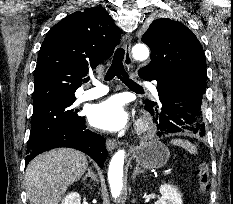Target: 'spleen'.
Instances as JSON below:
<instances>
[{
	"mask_svg": "<svg viewBox=\"0 0 233 204\" xmlns=\"http://www.w3.org/2000/svg\"><path fill=\"white\" fill-rule=\"evenodd\" d=\"M173 145L180 146L187 150L191 154H196L197 153V148L190 143L189 141L182 140V139H174L171 141Z\"/></svg>",
	"mask_w": 233,
	"mask_h": 204,
	"instance_id": "obj_1",
	"label": "spleen"
}]
</instances>
